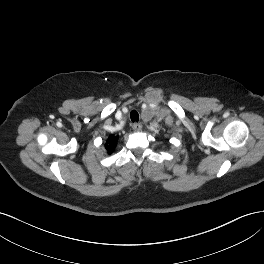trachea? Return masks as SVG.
Segmentation results:
<instances>
[{"instance_id": "1", "label": "trachea", "mask_w": 264, "mask_h": 264, "mask_svg": "<svg viewBox=\"0 0 264 264\" xmlns=\"http://www.w3.org/2000/svg\"><path fill=\"white\" fill-rule=\"evenodd\" d=\"M130 118L132 122H138L139 120V114L136 110H132L130 113Z\"/></svg>"}]
</instances>
